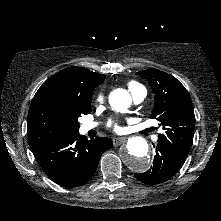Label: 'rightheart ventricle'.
<instances>
[{"mask_svg": "<svg viewBox=\"0 0 221 221\" xmlns=\"http://www.w3.org/2000/svg\"><path fill=\"white\" fill-rule=\"evenodd\" d=\"M137 84L136 83H130L129 85V89H131L132 87L136 86Z\"/></svg>", "mask_w": 221, "mask_h": 221, "instance_id": "right-heart-ventricle-1", "label": "right heart ventricle"}]
</instances>
